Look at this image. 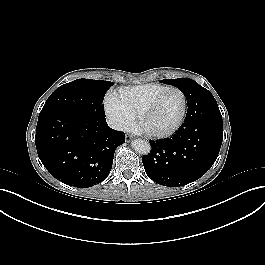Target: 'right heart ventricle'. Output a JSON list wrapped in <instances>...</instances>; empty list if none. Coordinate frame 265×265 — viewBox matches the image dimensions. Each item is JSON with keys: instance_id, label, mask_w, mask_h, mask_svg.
Returning <instances> with one entry per match:
<instances>
[{"instance_id": "obj_1", "label": "right heart ventricle", "mask_w": 265, "mask_h": 265, "mask_svg": "<svg viewBox=\"0 0 265 265\" xmlns=\"http://www.w3.org/2000/svg\"><path fill=\"white\" fill-rule=\"evenodd\" d=\"M166 87L157 83H148L131 88H122L118 91V94L125 106L137 119L140 118L149 102Z\"/></svg>"}]
</instances>
